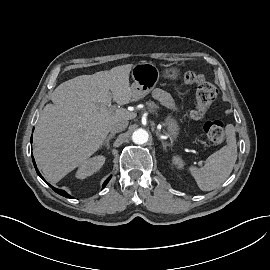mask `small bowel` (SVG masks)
I'll return each mask as SVG.
<instances>
[{"label":"small bowel","instance_id":"small-bowel-1","mask_svg":"<svg viewBox=\"0 0 270 270\" xmlns=\"http://www.w3.org/2000/svg\"><path fill=\"white\" fill-rule=\"evenodd\" d=\"M152 96L165 105L173 106V103L169 95L163 89H160V88L154 89L152 92Z\"/></svg>","mask_w":270,"mask_h":270}]
</instances>
